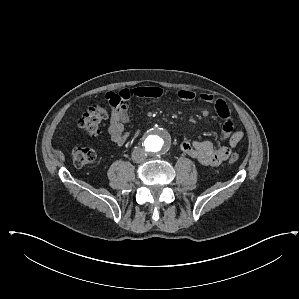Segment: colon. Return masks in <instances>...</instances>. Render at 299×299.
Wrapping results in <instances>:
<instances>
[{
    "instance_id": "1",
    "label": "colon",
    "mask_w": 299,
    "mask_h": 299,
    "mask_svg": "<svg viewBox=\"0 0 299 299\" xmlns=\"http://www.w3.org/2000/svg\"><path fill=\"white\" fill-rule=\"evenodd\" d=\"M107 116V110L104 107L94 105L78 121L79 128L86 134L96 136L100 133V124ZM72 159L77 167H83L95 160L96 154L93 148L89 146H77L71 151ZM238 155L232 153L229 156L231 163L237 162Z\"/></svg>"
}]
</instances>
